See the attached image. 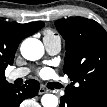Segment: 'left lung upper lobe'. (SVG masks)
I'll use <instances>...</instances> for the list:
<instances>
[{
	"label": "left lung upper lobe",
	"instance_id": "obj_1",
	"mask_svg": "<svg viewBox=\"0 0 107 107\" xmlns=\"http://www.w3.org/2000/svg\"><path fill=\"white\" fill-rule=\"evenodd\" d=\"M66 40L63 71L76 93L107 90V33L94 20L74 17L55 22ZM75 84V86H74Z\"/></svg>",
	"mask_w": 107,
	"mask_h": 107
}]
</instances>
